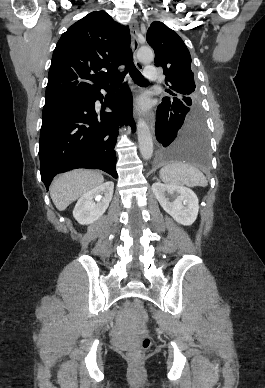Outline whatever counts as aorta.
I'll return each mask as SVG.
<instances>
[{
    "label": "aorta",
    "mask_w": 265,
    "mask_h": 388,
    "mask_svg": "<svg viewBox=\"0 0 265 388\" xmlns=\"http://www.w3.org/2000/svg\"><path fill=\"white\" fill-rule=\"evenodd\" d=\"M137 57L144 63L152 62L154 53L150 48L142 47L137 52ZM137 136L140 153L145 160H149L153 154V140L150 129L146 122L139 119L137 123Z\"/></svg>",
    "instance_id": "aorta-1"
}]
</instances>
